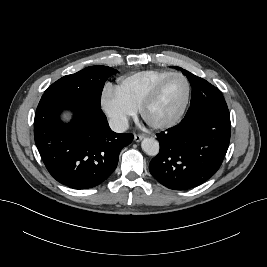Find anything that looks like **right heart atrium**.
<instances>
[{"label": "right heart atrium", "instance_id": "1", "mask_svg": "<svg viewBox=\"0 0 267 267\" xmlns=\"http://www.w3.org/2000/svg\"><path fill=\"white\" fill-rule=\"evenodd\" d=\"M100 104L111 124L118 130L125 129L129 120L136 114V110L128 105L112 87H106L103 90Z\"/></svg>", "mask_w": 267, "mask_h": 267}]
</instances>
